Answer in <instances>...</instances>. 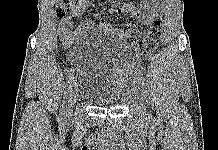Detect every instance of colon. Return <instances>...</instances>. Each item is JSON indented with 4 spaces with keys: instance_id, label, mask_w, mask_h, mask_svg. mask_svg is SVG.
<instances>
[{
    "instance_id": "colon-1",
    "label": "colon",
    "mask_w": 218,
    "mask_h": 150,
    "mask_svg": "<svg viewBox=\"0 0 218 150\" xmlns=\"http://www.w3.org/2000/svg\"><path fill=\"white\" fill-rule=\"evenodd\" d=\"M78 0H57L56 13L62 18L70 13ZM163 32V21L155 19L147 33L142 36L137 29H129L125 32L123 40L133 47L142 56L148 55L158 46Z\"/></svg>"
}]
</instances>
